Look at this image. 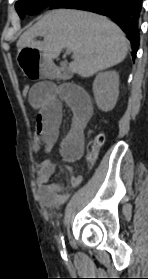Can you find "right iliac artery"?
Wrapping results in <instances>:
<instances>
[{
    "label": "right iliac artery",
    "mask_w": 148,
    "mask_h": 279,
    "mask_svg": "<svg viewBox=\"0 0 148 279\" xmlns=\"http://www.w3.org/2000/svg\"><path fill=\"white\" fill-rule=\"evenodd\" d=\"M58 245H59V249L60 252L63 255L66 254V248H65V242H64V236L62 233H60L59 238H58Z\"/></svg>",
    "instance_id": "82829eb1"
}]
</instances>
